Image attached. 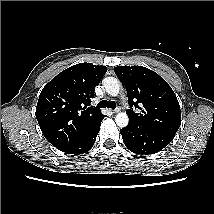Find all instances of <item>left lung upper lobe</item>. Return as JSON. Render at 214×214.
I'll return each instance as SVG.
<instances>
[{"label":"left lung upper lobe","instance_id":"obj_1","mask_svg":"<svg viewBox=\"0 0 214 214\" xmlns=\"http://www.w3.org/2000/svg\"><path fill=\"white\" fill-rule=\"evenodd\" d=\"M115 74L125 85L129 124L175 136L181 125V111L175 93L156 72L142 66H119Z\"/></svg>","mask_w":214,"mask_h":214}]
</instances>
